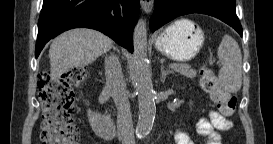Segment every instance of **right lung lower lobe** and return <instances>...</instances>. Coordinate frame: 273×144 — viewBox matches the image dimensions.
<instances>
[{"instance_id": "98d812e1", "label": "right lung lower lobe", "mask_w": 273, "mask_h": 144, "mask_svg": "<svg viewBox=\"0 0 273 144\" xmlns=\"http://www.w3.org/2000/svg\"><path fill=\"white\" fill-rule=\"evenodd\" d=\"M139 0H44L38 21L36 58L58 34L77 27L99 30L133 52Z\"/></svg>"}]
</instances>
